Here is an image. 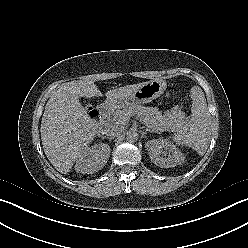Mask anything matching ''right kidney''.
<instances>
[{"mask_svg": "<svg viewBox=\"0 0 248 248\" xmlns=\"http://www.w3.org/2000/svg\"><path fill=\"white\" fill-rule=\"evenodd\" d=\"M110 150V146L104 143L86 147L76 160L75 170L82 174H92L99 171L107 163Z\"/></svg>", "mask_w": 248, "mask_h": 248, "instance_id": "ca27d5eb", "label": "right kidney"}]
</instances>
